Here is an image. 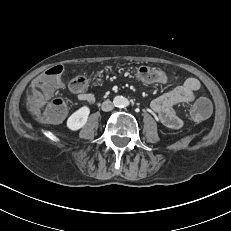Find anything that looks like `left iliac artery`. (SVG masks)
Returning a JSON list of instances; mask_svg holds the SVG:
<instances>
[{"instance_id": "44dca946", "label": "left iliac artery", "mask_w": 231, "mask_h": 231, "mask_svg": "<svg viewBox=\"0 0 231 231\" xmlns=\"http://www.w3.org/2000/svg\"><path fill=\"white\" fill-rule=\"evenodd\" d=\"M129 101L128 100H124V106H129Z\"/></svg>"}]
</instances>
